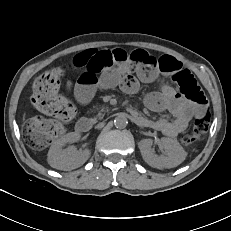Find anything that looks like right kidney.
I'll return each instance as SVG.
<instances>
[{
  "label": "right kidney",
  "instance_id": "ca27d5eb",
  "mask_svg": "<svg viewBox=\"0 0 231 231\" xmlns=\"http://www.w3.org/2000/svg\"><path fill=\"white\" fill-rule=\"evenodd\" d=\"M80 139L76 132L68 133L56 140L48 151V163L58 170H72L83 165L90 157V151L77 150L75 147L63 149L67 143H74Z\"/></svg>",
  "mask_w": 231,
  "mask_h": 231
}]
</instances>
